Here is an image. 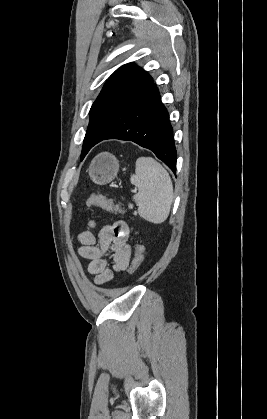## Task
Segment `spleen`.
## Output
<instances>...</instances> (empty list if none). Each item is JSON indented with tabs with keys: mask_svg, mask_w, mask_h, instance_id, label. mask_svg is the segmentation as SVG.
<instances>
[{
	"mask_svg": "<svg viewBox=\"0 0 267 419\" xmlns=\"http://www.w3.org/2000/svg\"><path fill=\"white\" fill-rule=\"evenodd\" d=\"M130 181L138 189L133 196L139 215L148 222L159 224L169 215L173 202V184L165 168L151 157L136 161V172Z\"/></svg>",
	"mask_w": 267,
	"mask_h": 419,
	"instance_id": "obj_1",
	"label": "spleen"
}]
</instances>
